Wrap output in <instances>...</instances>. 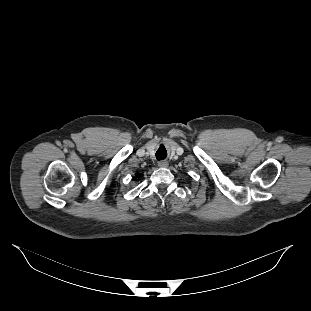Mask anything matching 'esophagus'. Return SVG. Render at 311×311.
<instances>
[{"label":"esophagus","mask_w":311,"mask_h":311,"mask_svg":"<svg viewBox=\"0 0 311 311\" xmlns=\"http://www.w3.org/2000/svg\"><path fill=\"white\" fill-rule=\"evenodd\" d=\"M169 165L168 161L163 160V161H159L158 166L161 168H167Z\"/></svg>","instance_id":"esophagus-1"}]
</instances>
